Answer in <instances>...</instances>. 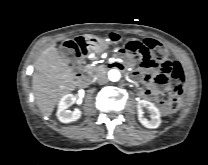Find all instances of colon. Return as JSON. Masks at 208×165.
Instances as JSON below:
<instances>
[{"label":"colon","instance_id":"1","mask_svg":"<svg viewBox=\"0 0 208 165\" xmlns=\"http://www.w3.org/2000/svg\"><path fill=\"white\" fill-rule=\"evenodd\" d=\"M110 41L113 44L120 43L119 35L110 34ZM82 49V44L75 41H68L63 45V52L67 55H78ZM124 51L127 52L134 60H137L142 68L149 75L151 69L157 68L159 60L166 56L165 47L153 40L147 39L144 41H128L124 46ZM171 96L161 102L163 112H173L179 107V96L183 90V83L177 87H171Z\"/></svg>","mask_w":208,"mask_h":165}]
</instances>
